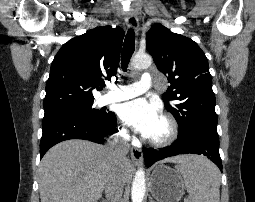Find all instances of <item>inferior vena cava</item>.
<instances>
[{"label":"inferior vena cava","mask_w":255,"mask_h":202,"mask_svg":"<svg viewBox=\"0 0 255 202\" xmlns=\"http://www.w3.org/2000/svg\"><path fill=\"white\" fill-rule=\"evenodd\" d=\"M107 150L113 157L116 167L105 186L106 202H120L123 193V176L121 167L127 162V153L129 151V143L126 132H121L108 141Z\"/></svg>","instance_id":"602c4592"}]
</instances>
